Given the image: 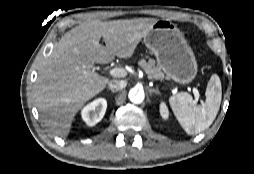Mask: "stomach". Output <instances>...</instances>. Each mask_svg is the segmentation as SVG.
I'll return each instance as SVG.
<instances>
[{"instance_id": "obj_1", "label": "stomach", "mask_w": 254, "mask_h": 174, "mask_svg": "<svg viewBox=\"0 0 254 174\" xmlns=\"http://www.w3.org/2000/svg\"><path fill=\"white\" fill-rule=\"evenodd\" d=\"M143 41L168 78L183 85L194 80L198 71L197 61L176 24L168 19L158 20Z\"/></svg>"}]
</instances>
